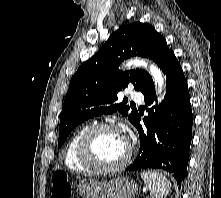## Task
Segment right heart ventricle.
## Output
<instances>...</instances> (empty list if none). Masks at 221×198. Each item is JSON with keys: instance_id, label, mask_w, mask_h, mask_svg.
I'll return each instance as SVG.
<instances>
[{"instance_id": "e07e8e85", "label": "right heart ventricle", "mask_w": 221, "mask_h": 198, "mask_svg": "<svg viewBox=\"0 0 221 198\" xmlns=\"http://www.w3.org/2000/svg\"><path fill=\"white\" fill-rule=\"evenodd\" d=\"M88 127L84 126L76 130L69 138L64 150V163L66 167L78 173L92 172L88 167L83 165L78 157V143Z\"/></svg>"}]
</instances>
